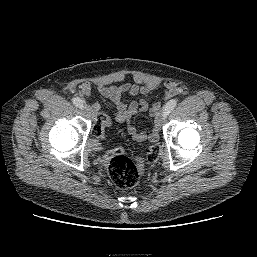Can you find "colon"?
<instances>
[{
	"mask_svg": "<svg viewBox=\"0 0 257 257\" xmlns=\"http://www.w3.org/2000/svg\"><path fill=\"white\" fill-rule=\"evenodd\" d=\"M111 120L104 124L97 123L92 130L93 140L91 147L95 150L100 148L99 139L104 136L105 127L109 126ZM159 146L152 144L145 151L137 153L134 157L126 156L122 148H115L109 153V175L113 183L121 189L135 186L143 170L152 165L158 156Z\"/></svg>",
	"mask_w": 257,
	"mask_h": 257,
	"instance_id": "5ec220e1",
	"label": "colon"
}]
</instances>
